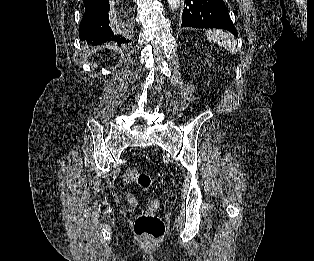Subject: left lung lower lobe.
<instances>
[{
	"label": "left lung lower lobe",
	"mask_w": 314,
	"mask_h": 261,
	"mask_svg": "<svg viewBox=\"0 0 314 261\" xmlns=\"http://www.w3.org/2000/svg\"><path fill=\"white\" fill-rule=\"evenodd\" d=\"M182 27L219 28L237 36L223 0H185Z\"/></svg>",
	"instance_id": "0a47b994"
}]
</instances>
